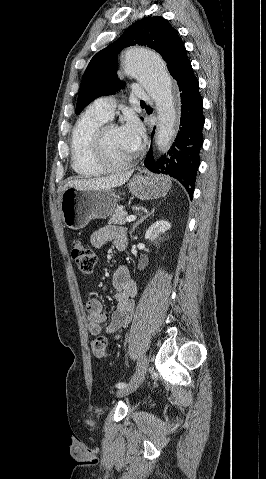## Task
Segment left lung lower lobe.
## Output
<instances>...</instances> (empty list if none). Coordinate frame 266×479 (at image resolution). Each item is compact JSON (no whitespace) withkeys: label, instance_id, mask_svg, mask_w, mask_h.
<instances>
[{"label":"left lung lower lobe","instance_id":"left-lung-lower-lobe-1","mask_svg":"<svg viewBox=\"0 0 266 479\" xmlns=\"http://www.w3.org/2000/svg\"><path fill=\"white\" fill-rule=\"evenodd\" d=\"M175 80L181 96L180 130L167 154L155 162L150 149L144 162L150 171L177 179L192 199L200 164L199 153L203 144V101L190 61L180 69Z\"/></svg>","mask_w":266,"mask_h":479}]
</instances>
